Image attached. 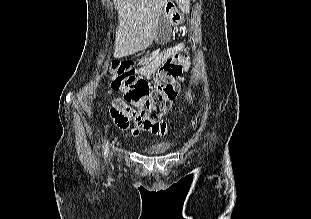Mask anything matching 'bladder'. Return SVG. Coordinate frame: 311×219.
<instances>
[{
    "mask_svg": "<svg viewBox=\"0 0 311 219\" xmlns=\"http://www.w3.org/2000/svg\"><path fill=\"white\" fill-rule=\"evenodd\" d=\"M170 150V147L167 146H154L149 151L148 154L151 156H160L167 153Z\"/></svg>",
    "mask_w": 311,
    "mask_h": 219,
    "instance_id": "bladder-1",
    "label": "bladder"
}]
</instances>
